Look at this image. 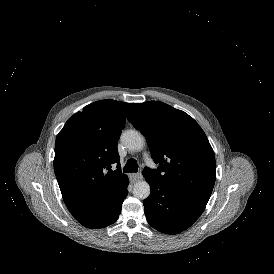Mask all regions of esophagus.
I'll return each instance as SVG.
<instances>
[{
  "mask_svg": "<svg viewBox=\"0 0 274 274\" xmlns=\"http://www.w3.org/2000/svg\"><path fill=\"white\" fill-rule=\"evenodd\" d=\"M143 178L141 173H131L129 174V179L131 183L140 181Z\"/></svg>",
  "mask_w": 274,
  "mask_h": 274,
  "instance_id": "34e87169",
  "label": "esophagus"
}]
</instances>
